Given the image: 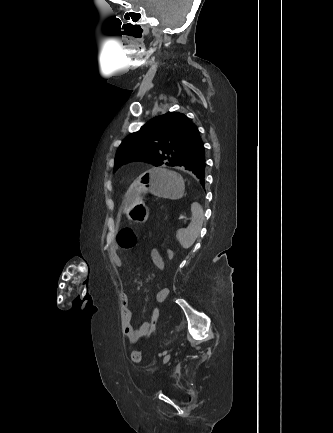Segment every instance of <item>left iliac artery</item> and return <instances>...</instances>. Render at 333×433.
Listing matches in <instances>:
<instances>
[{"instance_id":"left-iliac-artery-1","label":"left iliac artery","mask_w":333,"mask_h":433,"mask_svg":"<svg viewBox=\"0 0 333 433\" xmlns=\"http://www.w3.org/2000/svg\"><path fill=\"white\" fill-rule=\"evenodd\" d=\"M166 353H167V351H164V352L160 353V356H163V355H165Z\"/></svg>"}]
</instances>
